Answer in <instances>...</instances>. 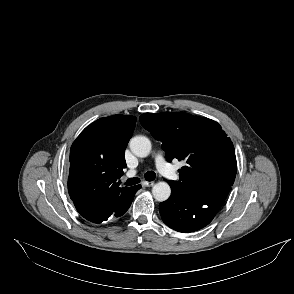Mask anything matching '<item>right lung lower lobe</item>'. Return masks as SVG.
Wrapping results in <instances>:
<instances>
[{"label": "right lung lower lobe", "instance_id": "98d812e1", "mask_svg": "<svg viewBox=\"0 0 294 294\" xmlns=\"http://www.w3.org/2000/svg\"><path fill=\"white\" fill-rule=\"evenodd\" d=\"M139 188L140 185L130 187L110 208L101 210L94 215H83V217L93 223H101L106 221L109 217H119L123 215L129 209L134 195Z\"/></svg>", "mask_w": 294, "mask_h": 294}]
</instances>
